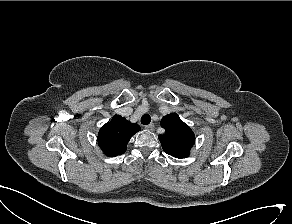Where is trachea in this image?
Returning a JSON list of instances; mask_svg holds the SVG:
<instances>
[{
  "label": "trachea",
  "instance_id": "3493384b",
  "mask_svg": "<svg viewBox=\"0 0 292 224\" xmlns=\"http://www.w3.org/2000/svg\"><path fill=\"white\" fill-rule=\"evenodd\" d=\"M150 122H151V117H150L148 114H144V115L141 117V123H142L143 125H148Z\"/></svg>",
  "mask_w": 292,
  "mask_h": 224
}]
</instances>
